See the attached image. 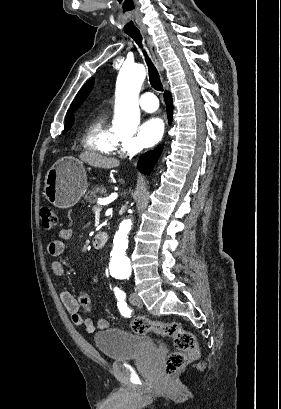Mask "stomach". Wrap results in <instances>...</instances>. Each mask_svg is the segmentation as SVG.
<instances>
[{
  "label": "stomach",
  "mask_w": 281,
  "mask_h": 409,
  "mask_svg": "<svg viewBox=\"0 0 281 409\" xmlns=\"http://www.w3.org/2000/svg\"><path fill=\"white\" fill-rule=\"evenodd\" d=\"M86 168L75 156H62L54 162L45 176L44 194L51 205L70 209L86 190Z\"/></svg>",
  "instance_id": "1"
}]
</instances>
